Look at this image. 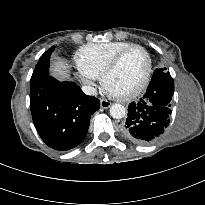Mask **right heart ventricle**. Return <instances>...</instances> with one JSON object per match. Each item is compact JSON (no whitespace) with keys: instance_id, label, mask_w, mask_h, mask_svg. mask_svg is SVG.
<instances>
[{"instance_id":"e07e8e85","label":"right heart ventricle","mask_w":205,"mask_h":205,"mask_svg":"<svg viewBox=\"0 0 205 205\" xmlns=\"http://www.w3.org/2000/svg\"><path fill=\"white\" fill-rule=\"evenodd\" d=\"M131 45L128 42H106L85 45L77 52V64L97 78H100L113 57Z\"/></svg>"}]
</instances>
